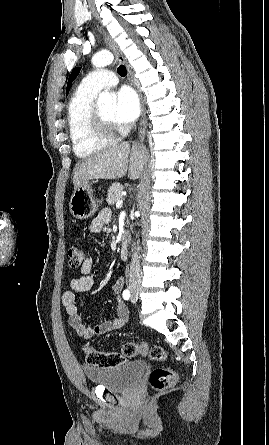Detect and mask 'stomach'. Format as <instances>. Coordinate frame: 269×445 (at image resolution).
<instances>
[{
	"label": "stomach",
	"mask_w": 269,
	"mask_h": 445,
	"mask_svg": "<svg viewBox=\"0 0 269 445\" xmlns=\"http://www.w3.org/2000/svg\"><path fill=\"white\" fill-rule=\"evenodd\" d=\"M99 202L93 194L91 184L86 181L73 192L69 204L70 212L76 219H87L97 211Z\"/></svg>",
	"instance_id": "0dacf381"
}]
</instances>
